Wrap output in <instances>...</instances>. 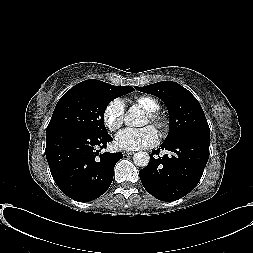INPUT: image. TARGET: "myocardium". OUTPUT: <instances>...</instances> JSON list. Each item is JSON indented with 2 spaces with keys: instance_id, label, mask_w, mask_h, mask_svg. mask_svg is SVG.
<instances>
[{
  "instance_id": "f54148a6",
  "label": "myocardium",
  "mask_w": 253,
  "mask_h": 253,
  "mask_svg": "<svg viewBox=\"0 0 253 253\" xmlns=\"http://www.w3.org/2000/svg\"><path fill=\"white\" fill-rule=\"evenodd\" d=\"M145 115L150 120L151 125L161 134H165L169 127L168 118L160 112H145Z\"/></svg>"
}]
</instances>
